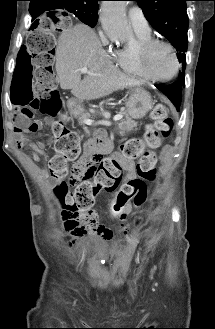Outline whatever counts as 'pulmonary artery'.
<instances>
[{
    "label": "pulmonary artery",
    "mask_w": 215,
    "mask_h": 329,
    "mask_svg": "<svg viewBox=\"0 0 215 329\" xmlns=\"http://www.w3.org/2000/svg\"><path fill=\"white\" fill-rule=\"evenodd\" d=\"M128 17L135 32L149 34L150 27L143 11L138 6L129 9Z\"/></svg>",
    "instance_id": "pulmonary-artery-1"
}]
</instances>
